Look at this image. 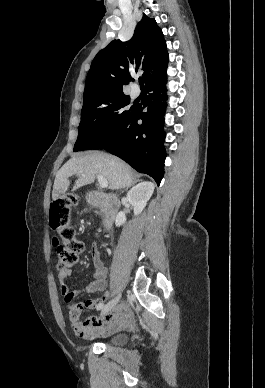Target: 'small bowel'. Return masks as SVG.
Here are the masks:
<instances>
[{"label":"small bowel","instance_id":"small-bowel-1","mask_svg":"<svg viewBox=\"0 0 265 388\" xmlns=\"http://www.w3.org/2000/svg\"><path fill=\"white\" fill-rule=\"evenodd\" d=\"M91 259L94 266V279L89 285L80 290L69 291L66 280L72 274L70 268L62 269L58 274L61 294L64 296L65 302L69 304L68 317L70 325L75 335L83 339L96 338L116 329H120L129 322V315L123 304L116 306L110 314H106L107 316H92L83 322L80 321V315L84 307L94 310L97 309L99 305L104 304L108 299V293L104 292L107 287V271L101 259L100 245L97 241L92 243ZM98 292H104L99 299L87 300L85 303H72L78 295L94 294ZM59 324H63V321L61 320Z\"/></svg>","mask_w":265,"mask_h":388}]
</instances>
